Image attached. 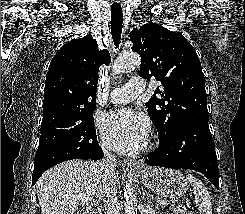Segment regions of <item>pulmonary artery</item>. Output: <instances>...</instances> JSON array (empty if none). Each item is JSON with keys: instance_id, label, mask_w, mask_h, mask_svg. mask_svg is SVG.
Listing matches in <instances>:
<instances>
[{"instance_id": "e3ab8cb5", "label": "pulmonary artery", "mask_w": 245, "mask_h": 214, "mask_svg": "<svg viewBox=\"0 0 245 214\" xmlns=\"http://www.w3.org/2000/svg\"><path fill=\"white\" fill-rule=\"evenodd\" d=\"M146 82L140 77L131 78L124 86L114 89L109 96L113 103H126L144 92Z\"/></svg>"}]
</instances>
